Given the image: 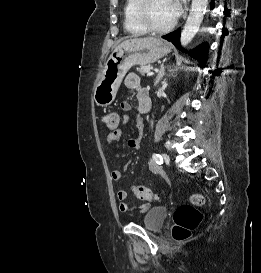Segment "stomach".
<instances>
[{
	"label": "stomach",
	"instance_id": "0dacf381",
	"mask_svg": "<svg viewBox=\"0 0 261 273\" xmlns=\"http://www.w3.org/2000/svg\"><path fill=\"white\" fill-rule=\"evenodd\" d=\"M169 52V45L154 37L131 39L118 45L107 59L102 78L95 86L96 104L106 107L114 101L124 76L132 66L154 63Z\"/></svg>",
	"mask_w": 261,
	"mask_h": 273
}]
</instances>
